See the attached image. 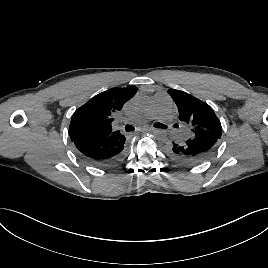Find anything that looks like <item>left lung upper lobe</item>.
Wrapping results in <instances>:
<instances>
[{"label":"left lung upper lobe","instance_id":"obj_1","mask_svg":"<svg viewBox=\"0 0 268 268\" xmlns=\"http://www.w3.org/2000/svg\"><path fill=\"white\" fill-rule=\"evenodd\" d=\"M168 93L178 107L179 120L190 127L191 137L215 136L221 138L220 120L207 103L180 90L169 89Z\"/></svg>","mask_w":268,"mask_h":268}]
</instances>
